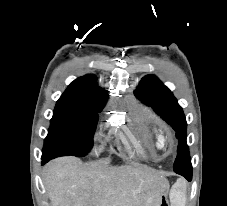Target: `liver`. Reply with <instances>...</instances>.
<instances>
[{
	"label": "liver",
	"instance_id": "obj_1",
	"mask_svg": "<svg viewBox=\"0 0 227 206\" xmlns=\"http://www.w3.org/2000/svg\"><path fill=\"white\" fill-rule=\"evenodd\" d=\"M43 182L52 206H159L169 190L154 170L126 165L82 170L73 157L50 162Z\"/></svg>",
	"mask_w": 227,
	"mask_h": 206
}]
</instances>
